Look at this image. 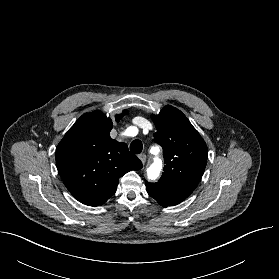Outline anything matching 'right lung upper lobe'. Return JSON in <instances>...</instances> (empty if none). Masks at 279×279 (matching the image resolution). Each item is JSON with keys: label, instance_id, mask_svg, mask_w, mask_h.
Here are the masks:
<instances>
[{"label": "right lung upper lobe", "instance_id": "cb5924a9", "mask_svg": "<svg viewBox=\"0 0 279 279\" xmlns=\"http://www.w3.org/2000/svg\"><path fill=\"white\" fill-rule=\"evenodd\" d=\"M111 129L112 120L102 112L86 113L57 146L56 164L64 185L88 206L104 204L116 192L121 176L142 168L125 143L110 137Z\"/></svg>", "mask_w": 279, "mask_h": 279}]
</instances>
